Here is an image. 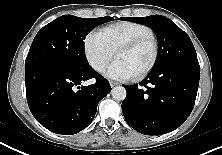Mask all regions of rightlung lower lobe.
Instances as JSON below:
<instances>
[{"label":"right lung lower lobe","mask_w":222,"mask_h":155,"mask_svg":"<svg viewBox=\"0 0 222 155\" xmlns=\"http://www.w3.org/2000/svg\"><path fill=\"white\" fill-rule=\"evenodd\" d=\"M96 82L82 86L86 80ZM26 97L31 113L46 129L72 135L94 119L97 105L111 91L106 78L90 65L75 69H50L26 79Z\"/></svg>","instance_id":"right-lung-lower-lobe-1"}]
</instances>
